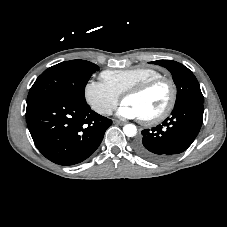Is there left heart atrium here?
Returning a JSON list of instances; mask_svg holds the SVG:
<instances>
[{"instance_id": "obj_1", "label": "left heart atrium", "mask_w": 227, "mask_h": 227, "mask_svg": "<svg viewBox=\"0 0 227 227\" xmlns=\"http://www.w3.org/2000/svg\"><path fill=\"white\" fill-rule=\"evenodd\" d=\"M117 115L124 119H140L139 111L131 104L123 102L117 110Z\"/></svg>"}]
</instances>
